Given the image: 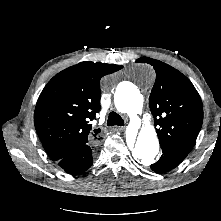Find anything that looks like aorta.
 <instances>
[{
    "label": "aorta",
    "instance_id": "obj_1",
    "mask_svg": "<svg viewBox=\"0 0 221 221\" xmlns=\"http://www.w3.org/2000/svg\"><path fill=\"white\" fill-rule=\"evenodd\" d=\"M137 74L144 79L153 80L154 71L147 64L136 68ZM114 103L120 113L135 116L142 111L143 96L132 83H125L124 87L117 88L114 94ZM159 153V141L154 127L147 123L141 128L132 155L141 164H152Z\"/></svg>",
    "mask_w": 221,
    "mask_h": 221
}]
</instances>
